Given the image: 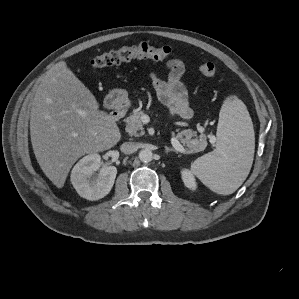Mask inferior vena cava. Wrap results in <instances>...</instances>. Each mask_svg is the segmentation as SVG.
<instances>
[{"mask_svg": "<svg viewBox=\"0 0 299 299\" xmlns=\"http://www.w3.org/2000/svg\"><path fill=\"white\" fill-rule=\"evenodd\" d=\"M121 151L125 154H132L134 153L135 151H137L138 149V145L137 143H134V142H124L122 145H121Z\"/></svg>", "mask_w": 299, "mask_h": 299, "instance_id": "obj_1", "label": "inferior vena cava"}]
</instances>
